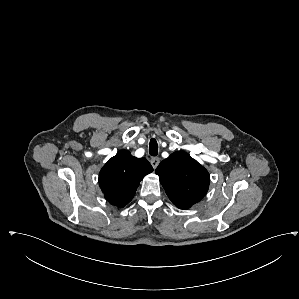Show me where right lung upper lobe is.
I'll list each match as a JSON object with an SVG mask.
<instances>
[{
	"instance_id": "obj_1",
	"label": "right lung upper lobe",
	"mask_w": 299,
	"mask_h": 299,
	"mask_svg": "<svg viewBox=\"0 0 299 299\" xmlns=\"http://www.w3.org/2000/svg\"><path fill=\"white\" fill-rule=\"evenodd\" d=\"M152 171L145 158H136L129 151L122 150L101 169L99 185L106 200L121 208L132 200L140 181Z\"/></svg>"
}]
</instances>
